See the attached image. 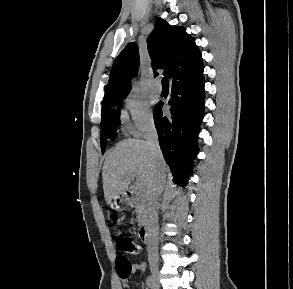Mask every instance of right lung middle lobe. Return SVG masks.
I'll list each match as a JSON object with an SVG mask.
<instances>
[{"mask_svg":"<svg viewBox=\"0 0 293 289\" xmlns=\"http://www.w3.org/2000/svg\"><path fill=\"white\" fill-rule=\"evenodd\" d=\"M126 96H118L109 99L102 105V120H101V136L100 143L102 152H104L106 147V139L111 138L112 140L116 138V127L120 124V115L118 113H110L109 110L112 105L120 102Z\"/></svg>","mask_w":293,"mask_h":289,"instance_id":"1","label":"right lung middle lobe"}]
</instances>
